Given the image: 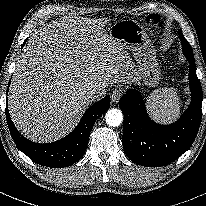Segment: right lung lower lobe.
<instances>
[{
    "mask_svg": "<svg viewBox=\"0 0 206 206\" xmlns=\"http://www.w3.org/2000/svg\"><path fill=\"white\" fill-rule=\"evenodd\" d=\"M25 43V42H24ZM109 95L89 107L75 129L66 137L51 143L39 144L26 139L15 128L6 107V119L17 148L39 165L61 168L77 162L85 153L90 132L96 120L108 110Z\"/></svg>",
    "mask_w": 206,
    "mask_h": 206,
    "instance_id": "98d812e1",
    "label": "right lung lower lobe"
}]
</instances>
